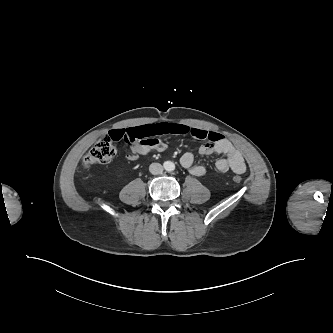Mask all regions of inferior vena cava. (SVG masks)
<instances>
[{
	"instance_id": "1",
	"label": "inferior vena cava",
	"mask_w": 333,
	"mask_h": 333,
	"mask_svg": "<svg viewBox=\"0 0 333 333\" xmlns=\"http://www.w3.org/2000/svg\"><path fill=\"white\" fill-rule=\"evenodd\" d=\"M149 171L154 175H159L163 172V166L160 163H152L149 166Z\"/></svg>"
}]
</instances>
